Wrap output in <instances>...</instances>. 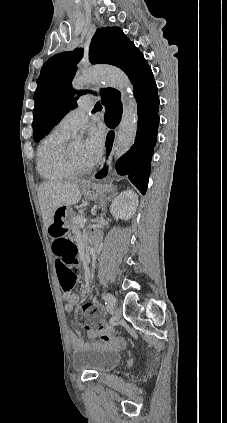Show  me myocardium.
Listing matches in <instances>:
<instances>
[{"label":"myocardium","mask_w":227,"mask_h":423,"mask_svg":"<svg viewBox=\"0 0 227 423\" xmlns=\"http://www.w3.org/2000/svg\"><path fill=\"white\" fill-rule=\"evenodd\" d=\"M65 160H66L67 168L70 174L72 175L84 174L91 170L90 166H81L77 163V161L75 160L73 156L71 146L66 147Z\"/></svg>","instance_id":"1"}]
</instances>
